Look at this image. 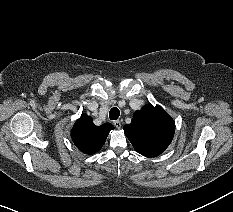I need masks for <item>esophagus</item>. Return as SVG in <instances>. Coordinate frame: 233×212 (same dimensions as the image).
Returning <instances> with one entry per match:
<instances>
[{
    "label": "esophagus",
    "mask_w": 233,
    "mask_h": 212,
    "mask_svg": "<svg viewBox=\"0 0 233 212\" xmlns=\"http://www.w3.org/2000/svg\"><path fill=\"white\" fill-rule=\"evenodd\" d=\"M113 124H114V126H115L117 129H120V128H121V125H122V123H121L120 120L114 121Z\"/></svg>",
    "instance_id": "1"
}]
</instances>
